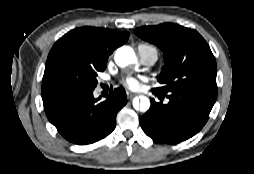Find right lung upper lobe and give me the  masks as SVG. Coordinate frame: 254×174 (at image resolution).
<instances>
[{
	"mask_svg": "<svg viewBox=\"0 0 254 174\" xmlns=\"http://www.w3.org/2000/svg\"><path fill=\"white\" fill-rule=\"evenodd\" d=\"M129 38L128 32L111 29L80 27L61 37L49 52L47 61L68 53L94 66H106L109 55Z\"/></svg>",
	"mask_w": 254,
	"mask_h": 174,
	"instance_id": "cb5924a9",
	"label": "right lung upper lobe"
}]
</instances>
